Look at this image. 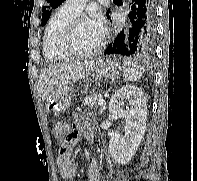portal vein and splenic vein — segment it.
<instances>
[{
	"label": "portal vein and splenic vein",
	"mask_w": 197,
	"mask_h": 181,
	"mask_svg": "<svg viewBox=\"0 0 197 181\" xmlns=\"http://www.w3.org/2000/svg\"><path fill=\"white\" fill-rule=\"evenodd\" d=\"M103 104H105V100H104V99H100L99 102H98V105L101 106V105H103Z\"/></svg>",
	"instance_id": "18ae733b"
}]
</instances>
